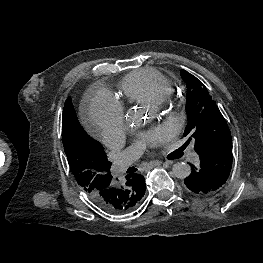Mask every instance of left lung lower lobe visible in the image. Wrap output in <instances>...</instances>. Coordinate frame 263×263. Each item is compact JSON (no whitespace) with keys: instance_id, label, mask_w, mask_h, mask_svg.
I'll use <instances>...</instances> for the list:
<instances>
[{"instance_id":"0a47b994","label":"left lung lower lobe","mask_w":263,"mask_h":263,"mask_svg":"<svg viewBox=\"0 0 263 263\" xmlns=\"http://www.w3.org/2000/svg\"><path fill=\"white\" fill-rule=\"evenodd\" d=\"M199 166L192 167L185 179L189 190L205 195L218 190L228 179L232 167V141H220L200 152Z\"/></svg>"}]
</instances>
